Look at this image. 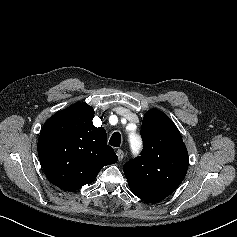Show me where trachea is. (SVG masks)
Segmentation results:
<instances>
[{
    "mask_svg": "<svg viewBox=\"0 0 237 237\" xmlns=\"http://www.w3.org/2000/svg\"><path fill=\"white\" fill-rule=\"evenodd\" d=\"M109 144L113 147H120L121 144V135L119 132H115L110 140H109Z\"/></svg>",
    "mask_w": 237,
    "mask_h": 237,
    "instance_id": "obj_1",
    "label": "trachea"
}]
</instances>
